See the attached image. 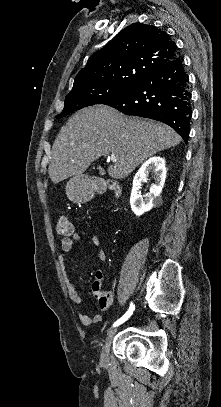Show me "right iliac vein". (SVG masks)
<instances>
[{
  "instance_id": "obj_1",
  "label": "right iliac vein",
  "mask_w": 221,
  "mask_h": 407,
  "mask_svg": "<svg viewBox=\"0 0 221 407\" xmlns=\"http://www.w3.org/2000/svg\"><path fill=\"white\" fill-rule=\"evenodd\" d=\"M118 330V327H113L112 329L109 330L106 341L104 343V346L102 347V352L100 356V362L102 364H105L109 361V352H110V345L112 342V339L114 335L116 334Z\"/></svg>"
}]
</instances>
